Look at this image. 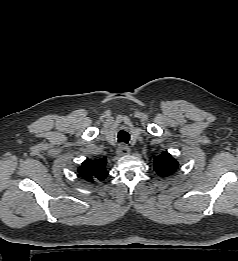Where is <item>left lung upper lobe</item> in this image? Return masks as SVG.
I'll list each match as a JSON object with an SVG mask.
<instances>
[{"instance_id":"left-lung-upper-lobe-1","label":"left lung upper lobe","mask_w":238,"mask_h":261,"mask_svg":"<svg viewBox=\"0 0 238 261\" xmlns=\"http://www.w3.org/2000/svg\"><path fill=\"white\" fill-rule=\"evenodd\" d=\"M178 165V162L168 152H164L154 159V170L161 177L171 175L177 170Z\"/></svg>"}]
</instances>
